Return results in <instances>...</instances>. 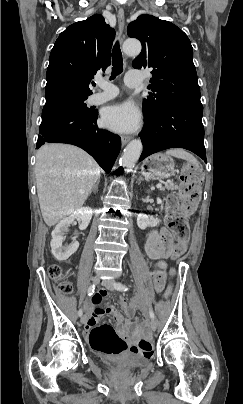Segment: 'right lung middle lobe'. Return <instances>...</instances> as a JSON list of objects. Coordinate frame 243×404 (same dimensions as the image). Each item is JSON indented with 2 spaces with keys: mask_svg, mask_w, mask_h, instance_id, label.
I'll list each match as a JSON object with an SVG mask.
<instances>
[{
  "mask_svg": "<svg viewBox=\"0 0 243 404\" xmlns=\"http://www.w3.org/2000/svg\"><path fill=\"white\" fill-rule=\"evenodd\" d=\"M86 99L87 97H75L60 99L51 103H47L45 104L42 111V120L69 110H79L86 112L87 114H94L96 110L87 107L84 102Z\"/></svg>",
  "mask_w": 243,
  "mask_h": 404,
  "instance_id": "dd1d6c3e",
  "label": "right lung middle lobe"
}]
</instances>
